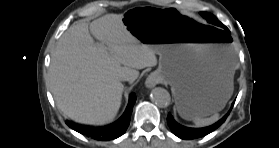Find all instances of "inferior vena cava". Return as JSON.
<instances>
[{
	"label": "inferior vena cava",
	"mask_w": 279,
	"mask_h": 148,
	"mask_svg": "<svg viewBox=\"0 0 279 148\" xmlns=\"http://www.w3.org/2000/svg\"><path fill=\"white\" fill-rule=\"evenodd\" d=\"M120 80L121 81H129L130 80V77L126 74H123L121 77H120Z\"/></svg>",
	"instance_id": "obj_1"
}]
</instances>
